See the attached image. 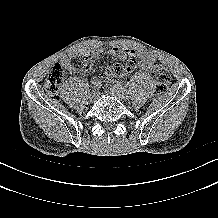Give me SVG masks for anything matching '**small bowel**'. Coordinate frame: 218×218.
I'll return each mask as SVG.
<instances>
[{
	"mask_svg": "<svg viewBox=\"0 0 218 218\" xmlns=\"http://www.w3.org/2000/svg\"><path fill=\"white\" fill-rule=\"evenodd\" d=\"M106 52L118 60H127L123 65L124 72L121 76H127L131 74L137 66L145 71H152L154 69L155 58L152 54L144 51L136 52L135 50L122 47H113L107 51L103 48L76 51L63 57L62 64L65 68L76 71L77 69L73 66L71 60L74 58L83 57L84 62L81 70L89 73L93 68L94 61L100 58Z\"/></svg>",
	"mask_w": 218,
	"mask_h": 218,
	"instance_id": "1",
	"label": "small bowel"
}]
</instances>
